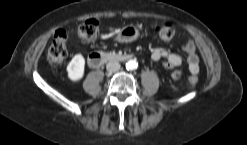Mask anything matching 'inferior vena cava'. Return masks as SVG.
<instances>
[{
    "label": "inferior vena cava",
    "mask_w": 247,
    "mask_h": 145,
    "mask_svg": "<svg viewBox=\"0 0 247 145\" xmlns=\"http://www.w3.org/2000/svg\"><path fill=\"white\" fill-rule=\"evenodd\" d=\"M106 69L109 73H115V72L119 71L120 64L117 61H110L107 63Z\"/></svg>",
    "instance_id": "602c4592"
}]
</instances>
